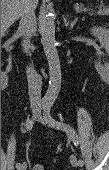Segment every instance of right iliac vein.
Masks as SVG:
<instances>
[{"label": "right iliac vein", "mask_w": 109, "mask_h": 170, "mask_svg": "<svg viewBox=\"0 0 109 170\" xmlns=\"http://www.w3.org/2000/svg\"><path fill=\"white\" fill-rule=\"evenodd\" d=\"M34 113H35V111H34ZM26 168H27L26 163H23V164H21L17 169H18V170H26Z\"/></svg>", "instance_id": "1"}]
</instances>
